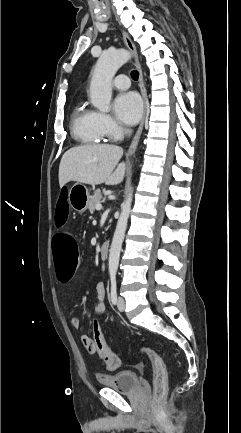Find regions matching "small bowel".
I'll return each mask as SVG.
<instances>
[{
    "instance_id": "obj_1",
    "label": "small bowel",
    "mask_w": 241,
    "mask_h": 433,
    "mask_svg": "<svg viewBox=\"0 0 241 433\" xmlns=\"http://www.w3.org/2000/svg\"><path fill=\"white\" fill-rule=\"evenodd\" d=\"M95 290H96V296H97V302L95 304V312L97 314H103L106 311V303H105L106 288H105V284L103 282H98L95 286ZM71 324L75 329H79L81 326V321L79 318L73 317L71 319ZM81 341H82L83 345L85 346V348L90 353H96V351L90 350L87 347V343L93 341L92 337H90L87 334H83V335H81Z\"/></svg>"
}]
</instances>
